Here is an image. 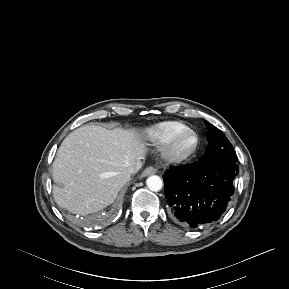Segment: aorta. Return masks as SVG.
Masks as SVG:
<instances>
[{"mask_svg": "<svg viewBox=\"0 0 289 289\" xmlns=\"http://www.w3.org/2000/svg\"><path fill=\"white\" fill-rule=\"evenodd\" d=\"M146 185L149 188V190L157 192L160 191L163 187V181L162 179L157 175H152L147 178Z\"/></svg>", "mask_w": 289, "mask_h": 289, "instance_id": "1", "label": "aorta"}]
</instances>
